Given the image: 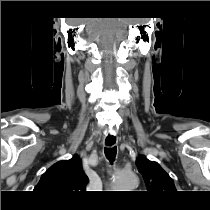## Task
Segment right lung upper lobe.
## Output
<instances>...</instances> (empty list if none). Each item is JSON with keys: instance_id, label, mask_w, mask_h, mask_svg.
I'll return each instance as SVG.
<instances>
[{"instance_id": "1", "label": "right lung upper lobe", "mask_w": 210, "mask_h": 210, "mask_svg": "<svg viewBox=\"0 0 210 210\" xmlns=\"http://www.w3.org/2000/svg\"><path fill=\"white\" fill-rule=\"evenodd\" d=\"M88 177L78 156L52 165L34 188L42 196L62 203L77 198L86 189Z\"/></svg>"}]
</instances>
